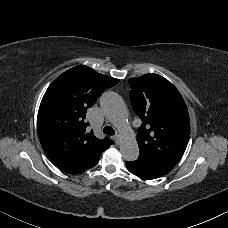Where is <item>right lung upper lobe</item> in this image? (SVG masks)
<instances>
[{
	"mask_svg": "<svg viewBox=\"0 0 228 228\" xmlns=\"http://www.w3.org/2000/svg\"><path fill=\"white\" fill-rule=\"evenodd\" d=\"M119 82L80 65L57 77L41 101L37 126L42 148L59 169L69 172L101 154L114 142L98 139L86 122V111L100 94Z\"/></svg>",
	"mask_w": 228,
	"mask_h": 228,
	"instance_id": "obj_1",
	"label": "right lung upper lobe"
}]
</instances>
